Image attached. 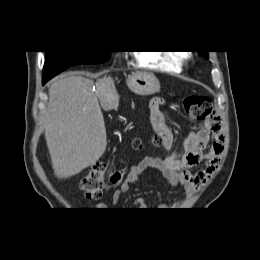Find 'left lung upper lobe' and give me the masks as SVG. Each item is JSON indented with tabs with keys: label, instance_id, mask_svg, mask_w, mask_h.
Wrapping results in <instances>:
<instances>
[{
	"label": "left lung upper lobe",
	"instance_id": "obj_1",
	"mask_svg": "<svg viewBox=\"0 0 260 260\" xmlns=\"http://www.w3.org/2000/svg\"><path fill=\"white\" fill-rule=\"evenodd\" d=\"M199 52L201 53V55L208 58V51H199Z\"/></svg>",
	"mask_w": 260,
	"mask_h": 260
}]
</instances>
